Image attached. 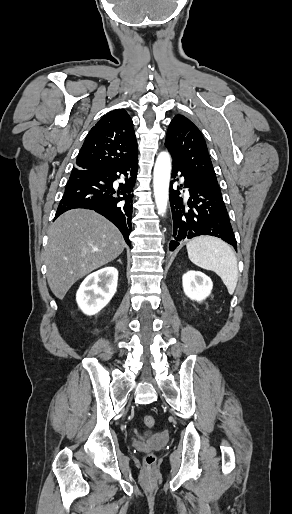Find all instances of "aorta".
I'll use <instances>...</instances> for the list:
<instances>
[{
	"label": "aorta",
	"mask_w": 292,
	"mask_h": 514,
	"mask_svg": "<svg viewBox=\"0 0 292 514\" xmlns=\"http://www.w3.org/2000/svg\"><path fill=\"white\" fill-rule=\"evenodd\" d=\"M170 174L171 158L167 152H161L155 162L153 172L155 204L160 216H164L167 208Z\"/></svg>",
	"instance_id": "1"
}]
</instances>
